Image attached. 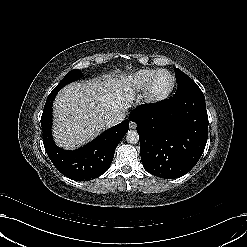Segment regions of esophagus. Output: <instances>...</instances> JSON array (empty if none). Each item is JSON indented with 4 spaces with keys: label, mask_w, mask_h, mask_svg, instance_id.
Here are the masks:
<instances>
[{
    "label": "esophagus",
    "mask_w": 247,
    "mask_h": 247,
    "mask_svg": "<svg viewBox=\"0 0 247 247\" xmlns=\"http://www.w3.org/2000/svg\"><path fill=\"white\" fill-rule=\"evenodd\" d=\"M136 126H137L136 122L130 121V124H129L130 129H135Z\"/></svg>",
    "instance_id": "obj_1"
}]
</instances>
